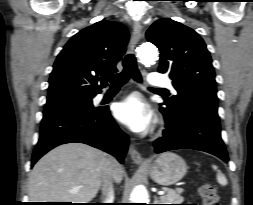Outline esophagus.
<instances>
[{"label":"esophagus","mask_w":253,"mask_h":205,"mask_svg":"<svg viewBox=\"0 0 253 205\" xmlns=\"http://www.w3.org/2000/svg\"><path fill=\"white\" fill-rule=\"evenodd\" d=\"M141 37H142V27L138 22H135L134 25H133V32H132V37H131V41H130V50H131V52L135 51L136 46H137L138 42L140 41ZM129 154H130L132 160L136 164H141V163L144 162L143 157L136 150L134 145H131V147L129 149Z\"/></svg>","instance_id":"34e87169"}]
</instances>
